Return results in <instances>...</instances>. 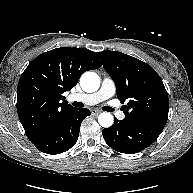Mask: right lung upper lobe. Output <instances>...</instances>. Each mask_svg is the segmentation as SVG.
<instances>
[{"label":"right lung upper lobe","mask_w":193,"mask_h":193,"mask_svg":"<svg viewBox=\"0 0 193 193\" xmlns=\"http://www.w3.org/2000/svg\"><path fill=\"white\" fill-rule=\"evenodd\" d=\"M100 66L94 52L70 47L45 52L27 66L17 88V112L30 141L75 109L63 93L71 90L85 71Z\"/></svg>","instance_id":"obj_1"}]
</instances>
